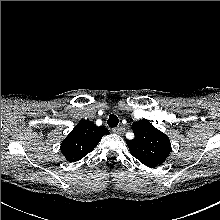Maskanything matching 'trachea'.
I'll list each match as a JSON object with an SVG mask.
<instances>
[{
  "label": "trachea",
  "mask_w": 220,
  "mask_h": 220,
  "mask_svg": "<svg viewBox=\"0 0 220 220\" xmlns=\"http://www.w3.org/2000/svg\"><path fill=\"white\" fill-rule=\"evenodd\" d=\"M109 127H117L119 119L116 115L111 114L107 120Z\"/></svg>",
  "instance_id": "1"
}]
</instances>
